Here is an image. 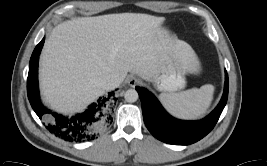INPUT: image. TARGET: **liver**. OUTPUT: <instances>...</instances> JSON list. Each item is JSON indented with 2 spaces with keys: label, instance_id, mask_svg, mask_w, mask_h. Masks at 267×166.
<instances>
[{
  "label": "liver",
  "instance_id": "obj_1",
  "mask_svg": "<svg viewBox=\"0 0 267 166\" xmlns=\"http://www.w3.org/2000/svg\"><path fill=\"white\" fill-rule=\"evenodd\" d=\"M164 22V17L119 13L58 24L40 59L44 100L59 112L80 111L107 91V76L122 82L132 72L151 80L167 53L176 54L185 73H198L195 52L187 43L168 38Z\"/></svg>",
  "mask_w": 267,
  "mask_h": 166
}]
</instances>
